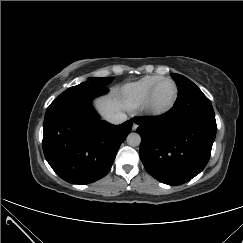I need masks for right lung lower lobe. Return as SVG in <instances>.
I'll list each match as a JSON object with an SVG mask.
<instances>
[{"label": "right lung lower lobe", "instance_id": "right-lung-lower-lobe-1", "mask_svg": "<svg viewBox=\"0 0 243 243\" xmlns=\"http://www.w3.org/2000/svg\"><path fill=\"white\" fill-rule=\"evenodd\" d=\"M107 92L106 86L83 82L60 94L46 110L44 155L69 183L88 184L104 177L131 131L132 120L113 125L92 109L91 100Z\"/></svg>", "mask_w": 243, "mask_h": 243}]
</instances>
